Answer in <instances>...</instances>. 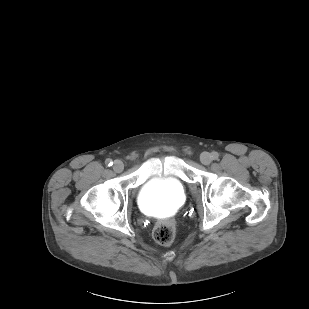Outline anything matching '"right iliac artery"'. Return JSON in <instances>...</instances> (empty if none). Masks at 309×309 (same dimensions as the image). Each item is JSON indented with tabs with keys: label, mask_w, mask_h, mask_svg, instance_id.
Instances as JSON below:
<instances>
[{
	"label": "right iliac artery",
	"mask_w": 309,
	"mask_h": 309,
	"mask_svg": "<svg viewBox=\"0 0 309 309\" xmlns=\"http://www.w3.org/2000/svg\"><path fill=\"white\" fill-rule=\"evenodd\" d=\"M105 163H106L107 166H112V165H113V162H112L111 159H107V160L105 161Z\"/></svg>",
	"instance_id": "right-iliac-artery-1"
}]
</instances>
